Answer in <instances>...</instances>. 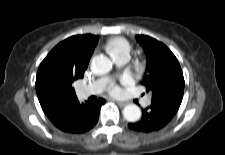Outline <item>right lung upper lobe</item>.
I'll use <instances>...</instances> for the list:
<instances>
[{"label":"right lung upper lobe","instance_id":"obj_1","mask_svg":"<svg viewBox=\"0 0 225 155\" xmlns=\"http://www.w3.org/2000/svg\"><path fill=\"white\" fill-rule=\"evenodd\" d=\"M98 36L76 35L60 42L39 66L37 96L47 116L69 103L78 101L72 83L83 78Z\"/></svg>","mask_w":225,"mask_h":155}]
</instances>
